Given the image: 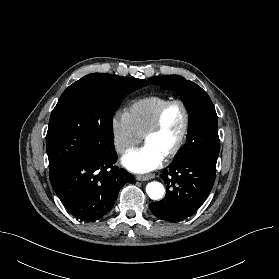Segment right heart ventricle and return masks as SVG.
I'll list each match as a JSON object with an SVG mask.
<instances>
[{
	"label": "right heart ventricle",
	"instance_id": "e07e8e85",
	"mask_svg": "<svg viewBox=\"0 0 279 279\" xmlns=\"http://www.w3.org/2000/svg\"><path fill=\"white\" fill-rule=\"evenodd\" d=\"M168 100L161 95H150L132 101L126 108V113L133 126L141 135L151 125L158 109Z\"/></svg>",
	"mask_w": 279,
	"mask_h": 279
}]
</instances>
